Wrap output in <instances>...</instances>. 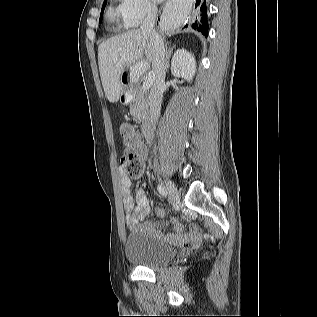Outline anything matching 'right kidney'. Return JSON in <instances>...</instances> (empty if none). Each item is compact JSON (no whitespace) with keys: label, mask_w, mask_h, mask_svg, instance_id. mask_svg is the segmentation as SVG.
Masks as SVG:
<instances>
[{"label":"right kidney","mask_w":317,"mask_h":317,"mask_svg":"<svg viewBox=\"0 0 317 317\" xmlns=\"http://www.w3.org/2000/svg\"><path fill=\"white\" fill-rule=\"evenodd\" d=\"M196 72L194 56L185 49H178L172 58L171 73L175 77H182L188 82L192 81Z\"/></svg>","instance_id":"ca27d5eb"}]
</instances>
